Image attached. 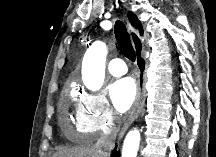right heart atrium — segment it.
<instances>
[{"label":"right heart atrium","instance_id":"obj_1","mask_svg":"<svg viewBox=\"0 0 216 157\" xmlns=\"http://www.w3.org/2000/svg\"><path fill=\"white\" fill-rule=\"evenodd\" d=\"M117 115L101 93L83 92L76 106L75 130L85 136L111 133L116 128Z\"/></svg>","mask_w":216,"mask_h":157}]
</instances>
